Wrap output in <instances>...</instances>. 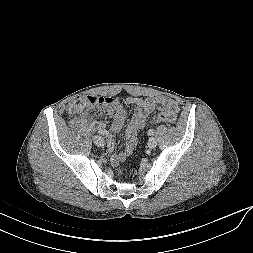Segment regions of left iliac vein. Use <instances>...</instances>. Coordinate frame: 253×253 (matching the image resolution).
Wrapping results in <instances>:
<instances>
[{"mask_svg": "<svg viewBox=\"0 0 253 253\" xmlns=\"http://www.w3.org/2000/svg\"><path fill=\"white\" fill-rule=\"evenodd\" d=\"M156 145H157V140L155 139V137H150L148 140V147L150 149H153L156 147Z\"/></svg>", "mask_w": 253, "mask_h": 253, "instance_id": "left-iliac-vein-1", "label": "left iliac vein"}]
</instances>
